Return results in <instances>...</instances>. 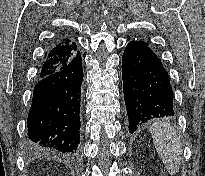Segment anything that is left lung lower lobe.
Listing matches in <instances>:
<instances>
[{
  "label": "left lung lower lobe",
  "mask_w": 205,
  "mask_h": 176,
  "mask_svg": "<svg viewBox=\"0 0 205 176\" xmlns=\"http://www.w3.org/2000/svg\"><path fill=\"white\" fill-rule=\"evenodd\" d=\"M129 132L153 118L173 116V92L159 57L145 42L131 41L122 56Z\"/></svg>",
  "instance_id": "0a47b994"
}]
</instances>
